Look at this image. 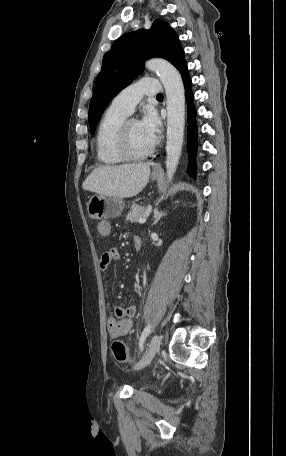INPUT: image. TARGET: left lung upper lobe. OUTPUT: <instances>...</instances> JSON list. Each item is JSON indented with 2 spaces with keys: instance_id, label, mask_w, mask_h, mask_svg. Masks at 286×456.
Masks as SVG:
<instances>
[{
  "instance_id": "5c2ea615",
  "label": "left lung upper lobe",
  "mask_w": 286,
  "mask_h": 456,
  "mask_svg": "<svg viewBox=\"0 0 286 456\" xmlns=\"http://www.w3.org/2000/svg\"><path fill=\"white\" fill-rule=\"evenodd\" d=\"M150 57L164 58L177 69L186 62L177 34L165 21L155 20L149 30L121 36L105 53L89 106L92 133L110 101L138 76Z\"/></svg>"
}]
</instances>
